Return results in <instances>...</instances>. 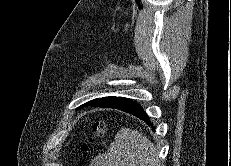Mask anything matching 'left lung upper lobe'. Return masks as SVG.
Returning <instances> with one entry per match:
<instances>
[{"label": "left lung upper lobe", "instance_id": "1", "mask_svg": "<svg viewBox=\"0 0 231 166\" xmlns=\"http://www.w3.org/2000/svg\"><path fill=\"white\" fill-rule=\"evenodd\" d=\"M94 100H95V99H94ZM94 100H91V101H89V102H87V103L81 105L80 107H78V109H81V108H83V107H86V106L90 105Z\"/></svg>", "mask_w": 231, "mask_h": 166}]
</instances>
